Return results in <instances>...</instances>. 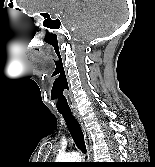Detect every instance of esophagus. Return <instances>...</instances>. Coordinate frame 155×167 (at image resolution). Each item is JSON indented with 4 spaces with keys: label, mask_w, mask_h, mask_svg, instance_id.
I'll use <instances>...</instances> for the list:
<instances>
[{
    "label": "esophagus",
    "mask_w": 155,
    "mask_h": 167,
    "mask_svg": "<svg viewBox=\"0 0 155 167\" xmlns=\"http://www.w3.org/2000/svg\"><path fill=\"white\" fill-rule=\"evenodd\" d=\"M73 114L82 128L84 139H85V144L87 148V153H88V159L91 160L92 159V143H91L90 134L85 126V123L80 113L78 111H73Z\"/></svg>",
    "instance_id": "esophagus-1"
}]
</instances>
